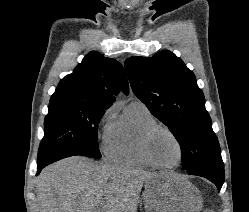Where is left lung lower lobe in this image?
I'll use <instances>...</instances> for the list:
<instances>
[{"label": "left lung lower lobe", "instance_id": "left-lung-lower-lobe-1", "mask_svg": "<svg viewBox=\"0 0 249 212\" xmlns=\"http://www.w3.org/2000/svg\"><path fill=\"white\" fill-rule=\"evenodd\" d=\"M189 174L207 178L217 186L218 190H220L225 179L224 164L223 162L219 164H210L189 172Z\"/></svg>", "mask_w": 249, "mask_h": 212}]
</instances>
